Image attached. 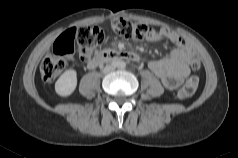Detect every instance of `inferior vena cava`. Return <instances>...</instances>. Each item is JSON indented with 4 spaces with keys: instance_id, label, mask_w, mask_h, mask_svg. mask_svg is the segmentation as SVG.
<instances>
[{
    "instance_id": "602c4592",
    "label": "inferior vena cava",
    "mask_w": 238,
    "mask_h": 158,
    "mask_svg": "<svg viewBox=\"0 0 238 158\" xmlns=\"http://www.w3.org/2000/svg\"><path fill=\"white\" fill-rule=\"evenodd\" d=\"M115 69V67L113 66V65H107V66H105V68L103 69V72L104 73H108V72H110V71H112V70H114Z\"/></svg>"
}]
</instances>
